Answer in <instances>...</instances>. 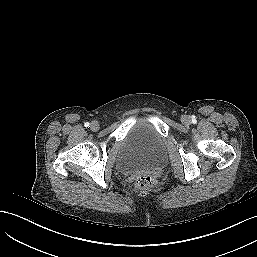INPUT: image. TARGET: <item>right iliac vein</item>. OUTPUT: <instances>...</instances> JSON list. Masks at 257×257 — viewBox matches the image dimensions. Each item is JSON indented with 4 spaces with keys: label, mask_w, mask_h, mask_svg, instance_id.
Returning <instances> with one entry per match:
<instances>
[{
    "label": "right iliac vein",
    "mask_w": 257,
    "mask_h": 257,
    "mask_svg": "<svg viewBox=\"0 0 257 257\" xmlns=\"http://www.w3.org/2000/svg\"><path fill=\"white\" fill-rule=\"evenodd\" d=\"M92 131H97L99 129V123L96 121H93L90 126Z\"/></svg>",
    "instance_id": "obj_1"
}]
</instances>
